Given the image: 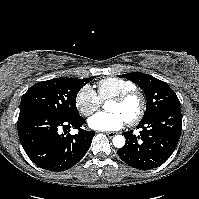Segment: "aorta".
<instances>
[{
    "label": "aorta",
    "instance_id": "1",
    "mask_svg": "<svg viewBox=\"0 0 199 199\" xmlns=\"http://www.w3.org/2000/svg\"><path fill=\"white\" fill-rule=\"evenodd\" d=\"M112 142L116 148H122L125 145V138L122 135H116Z\"/></svg>",
    "mask_w": 199,
    "mask_h": 199
}]
</instances>
